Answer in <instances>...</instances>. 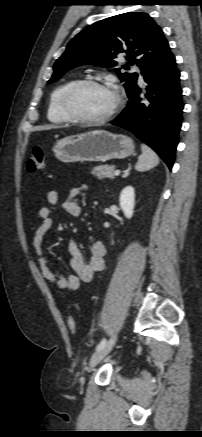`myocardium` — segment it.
<instances>
[{"label":"myocardium","mask_w":202,"mask_h":437,"mask_svg":"<svg viewBox=\"0 0 202 437\" xmlns=\"http://www.w3.org/2000/svg\"><path fill=\"white\" fill-rule=\"evenodd\" d=\"M87 86H95L103 89L110 90L115 95V103L111 110L101 116V117H86L83 115H80L77 113L73 106H72V100L74 95L82 88ZM123 103L122 96L119 92V90L113 86L112 84L92 79V78H85L75 81L72 85H70L66 91L63 93L61 97V109L64 115L70 119L71 121L77 122V123H83V124H103L109 120H111L120 110Z\"/></svg>","instance_id":"myocardium-1"}]
</instances>
